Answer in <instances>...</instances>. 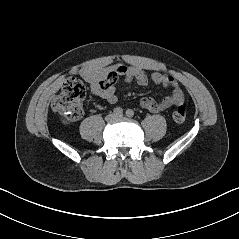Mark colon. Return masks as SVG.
Instances as JSON below:
<instances>
[{
  "label": "colon",
  "mask_w": 239,
  "mask_h": 239,
  "mask_svg": "<svg viewBox=\"0 0 239 239\" xmlns=\"http://www.w3.org/2000/svg\"><path fill=\"white\" fill-rule=\"evenodd\" d=\"M105 83V81H100L99 86L103 87ZM86 94L87 89L80 79L69 78L64 82L61 93L53 101L52 110L61 116L65 123H74L83 114V101ZM172 117L176 123H183L186 119L185 106L178 105Z\"/></svg>",
  "instance_id": "obj_1"
}]
</instances>
